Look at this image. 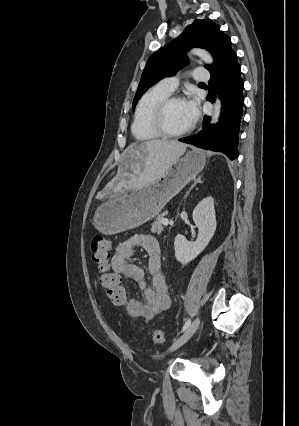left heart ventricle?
Listing matches in <instances>:
<instances>
[{
	"instance_id": "b2bd125f",
	"label": "left heart ventricle",
	"mask_w": 299,
	"mask_h": 426,
	"mask_svg": "<svg viewBox=\"0 0 299 426\" xmlns=\"http://www.w3.org/2000/svg\"><path fill=\"white\" fill-rule=\"evenodd\" d=\"M165 122L170 131H180L191 123L183 101L173 102L169 106L166 112Z\"/></svg>"
}]
</instances>
